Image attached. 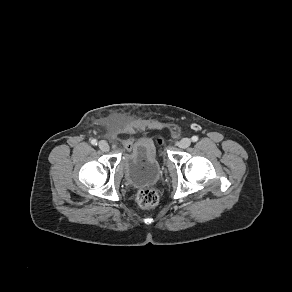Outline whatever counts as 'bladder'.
<instances>
[{"label": "bladder", "instance_id": "31cf9c89", "mask_svg": "<svg viewBox=\"0 0 292 292\" xmlns=\"http://www.w3.org/2000/svg\"><path fill=\"white\" fill-rule=\"evenodd\" d=\"M125 181L131 186H147L154 184L161 173V167L155 154L148 155L142 144H137L134 150L122 162Z\"/></svg>", "mask_w": 292, "mask_h": 292}]
</instances>
